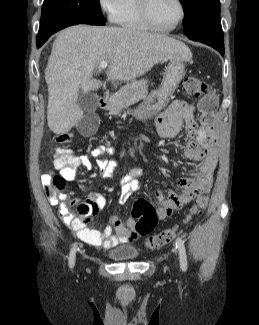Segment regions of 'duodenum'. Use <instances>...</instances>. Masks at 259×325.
I'll return each mask as SVG.
<instances>
[{
    "mask_svg": "<svg viewBox=\"0 0 259 325\" xmlns=\"http://www.w3.org/2000/svg\"><path fill=\"white\" fill-rule=\"evenodd\" d=\"M98 106L100 109H107L108 108L107 100L103 97H100L98 100Z\"/></svg>",
    "mask_w": 259,
    "mask_h": 325,
    "instance_id": "obj_1",
    "label": "duodenum"
}]
</instances>
